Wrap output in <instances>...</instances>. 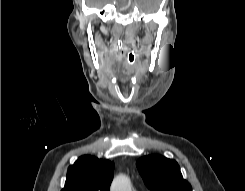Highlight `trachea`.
Instances as JSON below:
<instances>
[{"label":"trachea","instance_id":"1","mask_svg":"<svg viewBox=\"0 0 245 191\" xmlns=\"http://www.w3.org/2000/svg\"><path fill=\"white\" fill-rule=\"evenodd\" d=\"M136 62V54L133 51H130L127 55V63L133 65Z\"/></svg>","mask_w":245,"mask_h":191}]
</instances>
